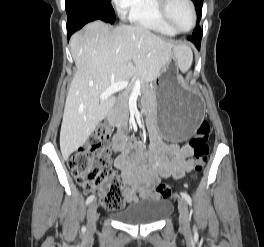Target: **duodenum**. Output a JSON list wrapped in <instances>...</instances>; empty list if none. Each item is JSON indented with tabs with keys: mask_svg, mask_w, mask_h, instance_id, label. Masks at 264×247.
Segmentation results:
<instances>
[{
	"mask_svg": "<svg viewBox=\"0 0 264 247\" xmlns=\"http://www.w3.org/2000/svg\"><path fill=\"white\" fill-rule=\"evenodd\" d=\"M107 122L110 125L115 126V121H114V119L110 115L107 116Z\"/></svg>",
	"mask_w": 264,
	"mask_h": 247,
	"instance_id": "410a0bca",
	"label": "duodenum"
}]
</instances>
